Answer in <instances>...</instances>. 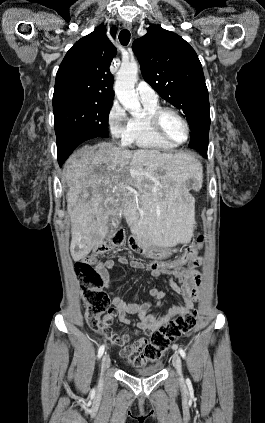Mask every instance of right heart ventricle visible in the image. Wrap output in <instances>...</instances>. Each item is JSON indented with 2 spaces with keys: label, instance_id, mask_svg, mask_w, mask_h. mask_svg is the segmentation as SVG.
<instances>
[{
  "label": "right heart ventricle",
  "instance_id": "e07e8e85",
  "mask_svg": "<svg viewBox=\"0 0 265 423\" xmlns=\"http://www.w3.org/2000/svg\"><path fill=\"white\" fill-rule=\"evenodd\" d=\"M142 103L144 113L141 116H133L129 119L123 142L145 150L170 151L176 148L177 146L159 138L151 127L149 115L159 107L158 100L155 102L142 101Z\"/></svg>",
  "mask_w": 265,
  "mask_h": 423
}]
</instances>
